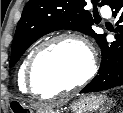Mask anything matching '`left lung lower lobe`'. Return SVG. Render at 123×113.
Listing matches in <instances>:
<instances>
[{"label": "left lung lower lobe", "instance_id": "1", "mask_svg": "<svg viewBox=\"0 0 123 113\" xmlns=\"http://www.w3.org/2000/svg\"><path fill=\"white\" fill-rule=\"evenodd\" d=\"M112 14L117 18L115 39L108 45L106 38L99 44L102 61L98 75L80 93L98 92L123 85V0H111Z\"/></svg>", "mask_w": 123, "mask_h": 113}]
</instances>
